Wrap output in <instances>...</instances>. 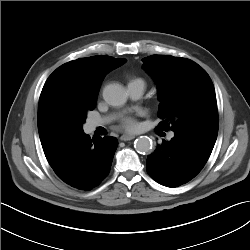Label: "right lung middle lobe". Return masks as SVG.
<instances>
[{
    "instance_id": "1",
    "label": "right lung middle lobe",
    "mask_w": 250,
    "mask_h": 250,
    "mask_svg": "<svg viewBox=\"0 0 250 250\" xmlns=\"http://www.w3.org/2000/svg\"><path fill=\"white\" fill-rule=\"evenodd\" d=\"M92 110V109H91ZM89 109L81 111L74 122L61 134V137L71 136L83 132L82 124L85 122Z\"/></svg>"
}]
</instances>
